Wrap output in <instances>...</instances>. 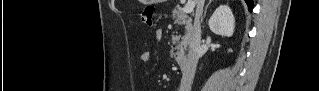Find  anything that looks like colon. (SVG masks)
Instances as JSON below:
<instances>
[{
	"label": "colon",
	"mask_w": 319,
	"mask_h": 91,
	"mask_svg": "<svg viewBox=\"0 0 319 91\" xmlns=\"http://www.w3.org/2000/svg\"><path fill=\"white\" fill-rule=\"evenodd\" d=\"M154 13H155V7L146 6L140 16L142 23L148 27H152L154 24V21H153Z\"/></svg>",
	"instance_id": "colon-1"
}]
</instances>
